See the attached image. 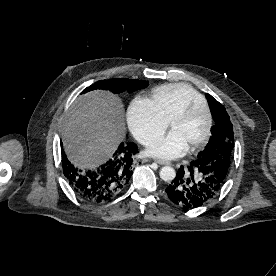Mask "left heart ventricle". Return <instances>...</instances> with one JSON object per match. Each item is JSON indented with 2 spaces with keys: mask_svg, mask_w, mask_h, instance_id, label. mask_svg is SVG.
<instances>
[{
  "mask_svg": "<svg viewBox=\"0 0 276 276\" xmlns=\"http://www.w3.org/2000/svg\"><path fill=\"white\" fill-rule=\"evenodd\" d=\"M206 126L207 115L200 109L190 118L175 122L171 128L184 139L190 148L203 137Z\"/></svg>",
  "mask_w": 276,
  "mask_h": 276,
  "instance_id": "1",
  "label": "left heart ventricle"
}]
</instances>
